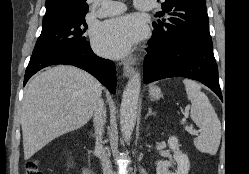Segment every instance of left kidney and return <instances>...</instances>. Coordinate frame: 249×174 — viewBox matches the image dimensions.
I'll return each instance as SVG.
<instances>
[{
    "label": "left kidney",
    "instance_id": "1",
    "mask_svg": "<svg viewBox=\"0 0 249 174\" xmlns=\"http://www.w3.org/2000/svg\"><path fill=\"white\" fill-rule=\"evenodd\" d=\"M169 148L174 152L173 159L177 163V170L175 173L169 172V167L172 165L170 161H160L157 165V174H188L189 159L188 156L179 151L178 139L172 136L168 139Z\"/></svg>",
    "mask_w": 249,
    "mask_h": 174
}]
</instances>
